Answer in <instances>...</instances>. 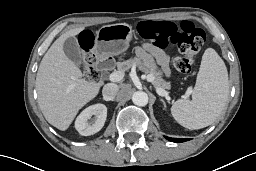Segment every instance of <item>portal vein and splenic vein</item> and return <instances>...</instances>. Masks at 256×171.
<instances>
[{
  "mask_svg": "<svg viewBox=\"0 0 256 171\" xmlns=\"http://www.w3.org/2000/svg\"><path fill=\"white\" fill-rule=\"evenodd\" d=\"M124 78V72L123 71H115V72H112L110 75H109V80L112 81V82H119L121 81L122 79ZM153 76L151 75H148L147 76V80L149 82H152L153 81ZM156 91L159 95L161 96H164L166 98H168V92L165 91L163 88H156ZM189 95H190V91H187L185 94H184V98H189Z\"/></svg>",
  "mask_w": 256,
  "mask_h": 171,
  "instance_id": "portal-vein-and-splenic-vein-1",
  "label": "portal vein and splenic vein"
}]
</instances>
